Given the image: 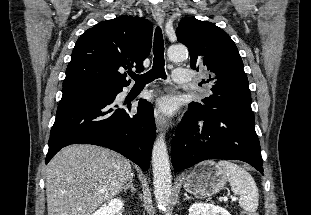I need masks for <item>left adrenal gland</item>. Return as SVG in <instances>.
Here are the masks:
<instances>
[{
	"mask_svg": "<svg viewBox=\"0 0 311 215\" xmlns=\"http://www.w3.org/2000/svg\"><path fill=\"white\" fill-rule=\"evenodd\" d=\"M184 196H185L184 201L187 200V199H192L190 196H188L187 193H184Z\"/></svg>",
	"mask_w": 311,
	"mask_h": 215,
	"instance_id": "a2214340",
	"label": "left adrenal gland"
}]
</instances>
